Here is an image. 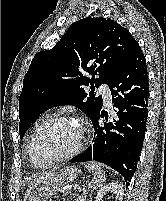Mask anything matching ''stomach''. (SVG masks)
<instances>
[{"mask_svg": "<svg viewBox=\"0 0 166 201\" xmlns=\"http://www.w3.org/2000/svg\"><path fill=\"white\" fill-rule=\"evenodd\" d=\"M77 176L75 167L64 168L52 174L42 186L31 196L30 201H44V199L61 191L67 183L72 182Z\"/></svg>", "mask_w": 166, "mask_h": 201, "instance_id": "stomach-1", "label": "stomach"}]
</instances>
